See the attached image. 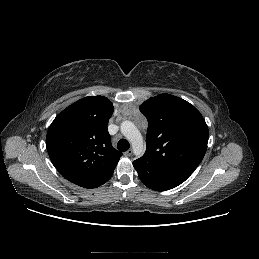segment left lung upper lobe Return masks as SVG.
<instances>
[{"instance_id":"1","label":"left lung upper lobe","mask_w":259,"mask_h":259,"mask_svg":"<svg viewBox=\"0 0 259 259\" xmlns=\"http://www.w3.org/2000/svg\"><path fill=\"white\" fill-rule=\"evenodd\" d=\"M140 111L148 119L146 151L139 158L190 176L207 150L208 126L189 102L161 94L146 100Z\"/></svg>"}]
</instances>
